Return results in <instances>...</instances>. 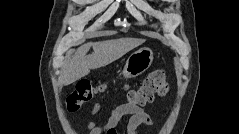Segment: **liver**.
I'll return each instance as SVG.
<instances>
[{
	"mask_svg": "<svg viewBox=\"0 0 239 134\" xmlns=\"http://www.w3.org/2000/svg\"><path fill=\"white\" fill-rule=\"evenodd\" d=\"M144 39L120 38L99 42H90L80 46L65 68L62 82L71 84L88 75L91 69L104 67L144 43ZM90 47L93 53L87 55Z\"/></svg>",
	"mask_w": 239,
	"mask_h": 134,
	"instance_id": "1",
	"label": "liver"
}]
</instances>
